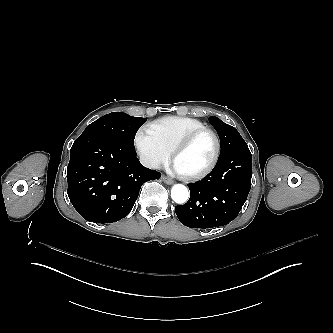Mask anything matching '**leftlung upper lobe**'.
I'll list each match as a JSON object with an SVG mask.
<instances>
[{
  "label": "left lung upper lobe",
  "mask_w": 333,
  "mask_h": 333,
  "mask_svg": "<svg viewBox=\"0 0 333 333\" xmlns=\"http://www.w3.org/2000/svg\"><path fill=\"white\" fill-rule=\"evenodd\" d=\"M209 122L214 126L220 138L221 152L219 158L226 156L235 149L247 146L244 139L234 127L214 116L209 117Z\"/></svg>",
  "instance_id": "1"
}]
</instances>
